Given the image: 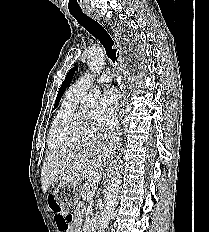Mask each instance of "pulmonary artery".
I'll list each match as a JSON object with an SVG mask.
<instances>
[{"instance_id": "obj_1", "label": "pulmonary artery", "mask_w": 209, "mask_h": 232, "mask_svg": "<svg viewBox=\"0 0 209 232\" xmlns=\"http://www.w3.org/2000/svg\"><path fill=\"white\" fill-rule=\"evenodd\" d=\"M111 80L112 74L110 71H106L98 77H95L90 73H85L71 86L70 89L75 94L85 95L94 83H107Z\"/></svg>"}]
</instances>
